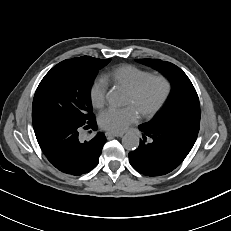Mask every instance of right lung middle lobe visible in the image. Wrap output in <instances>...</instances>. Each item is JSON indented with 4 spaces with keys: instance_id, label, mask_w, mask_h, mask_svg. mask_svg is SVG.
Listing matches in <instances>:
<instances>
[{
    "instance_id": "right-lung-middle-lobe-1",
    "label": "right lung middle lobe",
    "mask_w": 231,
    "mask_h": 231,
    "mask_svg": "<svg viewBox=\"0 0 231 231\" xmlns=\"http://www.w3.org/2000/svg\"><path fill=\"white\" fill-rule=\"evenodd\" d=\"M90 56L68 59L53 67L33 99V126L47 121L82 127L95 121L89 93L97 70L108 64Z\"/></svg>"
}]
</instances>
